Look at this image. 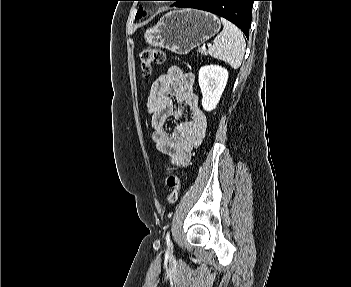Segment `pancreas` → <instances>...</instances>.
I'll return each instance as SVG.
<instances>
[{
	"instance_id": "1",
	"label": "pancreas",
	"mask_w": 351,
	"mask_h": 287,
	"mask_svg": "<svg viewBox=\"0 0 351 287\" xmlns=\"http://www.w3.org/2000/svg\"><path fill=\"white\" fill-rule=\"evenodd\" d=\"M199 52H200L201 54H206V51L203 50V49H200Z\"/></svg>"
}]
</instances>
